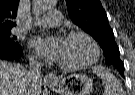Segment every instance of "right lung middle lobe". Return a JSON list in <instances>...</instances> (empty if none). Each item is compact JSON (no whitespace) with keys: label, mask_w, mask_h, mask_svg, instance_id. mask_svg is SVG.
<instances>
[{"label":"right lung middle lobe","mask_w":135,"mask_h":95,"mask_svg":"<svg viewBox=\"0 0 135 95\" xmlns=\"http://www.w3.org/2000/svg\"><path fill=\"white\" fill-rule=\"evenodd\" d=\"M15 39V36H11L10 30H0V49H11L19 46Z\"/></svg>","instance_id":"1"}]
</instances>
